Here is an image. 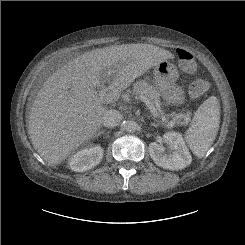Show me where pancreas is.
<instances>
[{
    "mask_svg": "<svg viewBox=\"0 0 245 245\" xmlns=\"http://www.w3.org/2000/svg\"><path fill=\"white\" fill-rule=\"evenodd\" d=\"M133 94L143 95L147 97L152 104L158 106L160 104V93L158 89L146 81H137L133 85ZM179 119H184V123L189 122V113L188 114H179Z\"/></svg>",
    "mask_w": 245,
    "mask_h": 245,
    "instance_id": "cf45deb5",
    "label": "pancreas"
}]
</instances>
